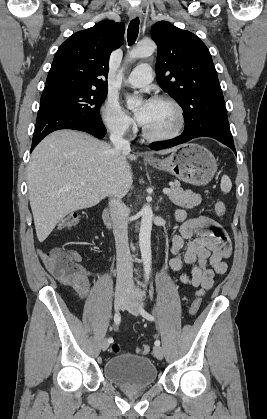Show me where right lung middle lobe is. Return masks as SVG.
<instances>
[{"label":"right lung middle lobe","instance_id":"right-lung-middle-lobe-1","mask_svg":"<svg viewBox=\"0 0 267 419\" xmlns=\"http://www.w3.org/2000/svg\"><path fill=\"white\" fill-rule=\"evenodd\" d=\"M106 95L107 90L61 89L43 92L41 104L60 107L86 121L102 122L100 107Z\"/></svg>","mask_w":267,"mask_h":419}]
</instances>
